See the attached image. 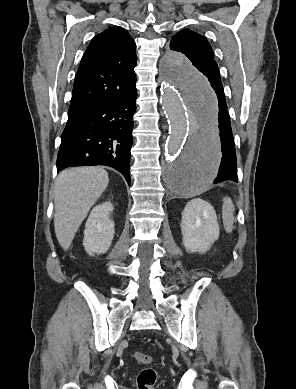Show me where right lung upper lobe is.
Listing matches in <instances>:
<instances>
[{"instance_id": "cb5924a9", "label": "right lung upper lobe", "mask_w": 296, "mask_h": 389, "mask_svg": "<svg viewBox=\"0 0 296 389\" xmlns=\"http://www.w3.org/2000/svg\"><path fill=\"white\" fill-rule=\"evenodd\" d=\"M136 44L121 27L96 35L74 80L68 117L119 98L136 79Z\"/></svg>"}]
</instances>
